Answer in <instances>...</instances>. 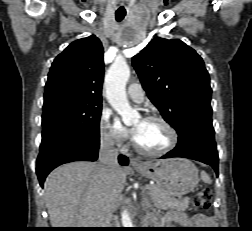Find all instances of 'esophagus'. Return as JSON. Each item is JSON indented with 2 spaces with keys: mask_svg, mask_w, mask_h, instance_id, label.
Masks as SVG:
<instances>
[{
  "mask_svg": "<svg viewBox=\"0 0 252 231\" xmlns=\"http://www.w3.org/2000/svg\"><path fill=\"white\" fill-rule=\"evenodd\" d=\"M130 165L133 167H139V166H143V163L137 158H131Z\"/></svg>",
  "mask_w": 252,
  "mask_h": 231,
  "instance_id": "1",
  "label": "esophagus"
}]
</instances>
